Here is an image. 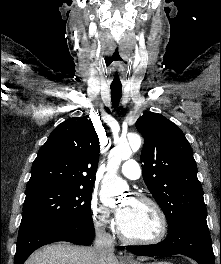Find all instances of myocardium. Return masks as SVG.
Wrapping results in <instances>:
<instances>
[{
  "mask_svg": "<svg viewBox=\"0 0 221 264\" xmlns=\"http://www.w3.org/2000/svg\"><path fill=\"white\" fill-rule=\"evenodd\" d=\"M136 201L138 202H142V203H146L148 205H150L153 210L155 211V213L158 216L159 219V224H160V228H159V232L158 234L150 239H135V238H131L129 236H127L124 231L121 228V225H118V234L120 236V238L129 244H133V245H144V246H149V245H155L160 243L161 241H163L168 233V219L167 216L164 212V210L162 209V207L158 204V202H156L153 198L145 196V195H138L134 198Z\"/></svg>",
  "mask_w": 221,
  "mask_h": 264,
  "instance_id": "obj_1",
  "label": "myocardium"
}]
</instances>
